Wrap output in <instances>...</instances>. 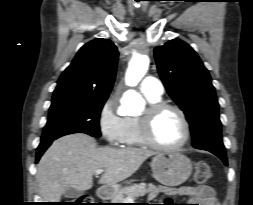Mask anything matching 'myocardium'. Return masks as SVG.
<instances>
[{
  "label": "myocardium",
  "mask_w": 253,
  "mask_h": 205,
  "mask_svg": "<svg viewBox=\"0 0 253 205\" xmlns=\"http://www.w3.org/2000/svg\"><path fill=\"white\" fill-rule=\"evenodd\" d=\"M171 110L176 112L181 118L184 128L185 135L183 140L173 146L162 145L154 137V124L157 118L165 111ZM140 134L144 143L156 150L160 151H175L184 147L190 140L191 137V126L185 112L178 106L166 102H158L150 104L145 112L139 117Z\"/></svg>",
  "instance_id": "f54148a6"
}]
</instances>
